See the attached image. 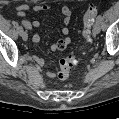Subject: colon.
Returning <instances> with one entry per match:
<instances>
[{
    "label": "colon",
    "mask_w": 119,
    "mask_h": 119,
    "mask_svg": "<svg viewBox=\"0 0 119 119\" xmlns=\"http://www.w3.org/2000/svg\"><path fill=\"white\" fill-rule=\"evenodd\" d=\"M98 13V8L95 5H90L86 10L83 16V36L89 40L90 39V27L93 23L96 15ZM78 62V58L75 54H70L67 57L61 59L59 61V70H58V78L61 80H66L70 76V71L74 65Z\"/></svg>",
    "instance_id": "obj_1"
}]
</instances>
